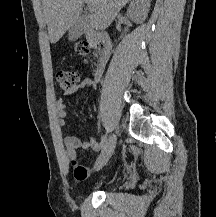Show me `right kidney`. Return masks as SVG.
<instances>
[{"label": "right kidney", "mask_w": 216, "mask_h": 217, "mask_svg": "<svg viewBox=\"0 0 216 217\" xmlns=\"http://www.w3.org/2000/svg\"><path fill=\"white\" fill-rule=\"evenodd\" d=\"M150 0H133L127 10L128 17L136 22L143 23L148 16Z\"/></svg>", "instance_id": "ca27d5eb"}]
</instances>
